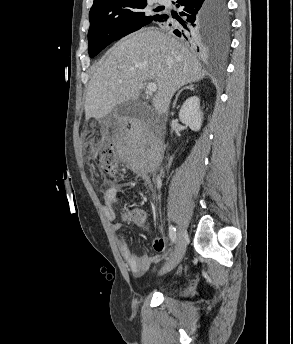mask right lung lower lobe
Instances as JSON below:
<instances>
[{
    "label": "right lung lower lobe",
    "mask_w": 293,
    "mask_h": 344,
    "mask_svg": "<svg viewBox=\"0 0 293 344\" xmlns=\"http://www.w3.org/2000/svg\"><path fill=\"white\" fill-rule=\"evenodd\" d=\"M216 0H177L176 7L180 8V16L161 15L156 22H161L177 36L194 43L204 51H212L228 42V29L221 34L214 17ZM199 51V49H198Z\"/></svg>",
    "instance_id": "98d812e1"
}]
</instances>
